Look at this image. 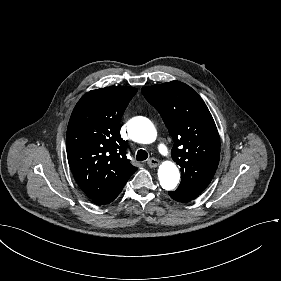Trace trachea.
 <instances>
[{
  "mask_svg": "<svg viewBox=\"0 0 281 281\" xmlns=\"http://www.w3.org/2000/svg\"><path fill=\"white\" fill-rule=\"evenodd\" d=\"M148 158V153L145 150H138L137 155H136V160L137 161H144Z\"/></svg>",
  "mask_w": 281,
  "mask_h": 281,
  "instance_id": "obj_1",
  "label": "trachea"
}]
</instances>
